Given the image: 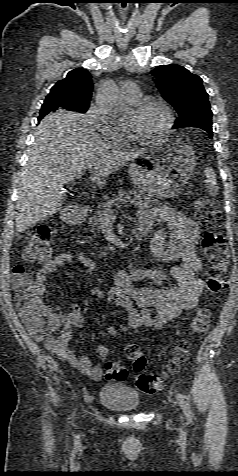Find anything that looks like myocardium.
<instances>
[{"instance_id": "obj_1", "label": "myocardium", "mask_w": 238, "mask_h": 476, "mask_svg": "<svg viewBox=\"0 0 238 476\" xmlns=\"http://www.w3.org/2000/svg\"><path fill=\"white\" fill-rule=\"evenodd\" d=\"M152 105H157V106L161 107L164 110L165 115H166V122L160 130H158V131H156L152 134H149V135H140L134 129H132L129 125L126 124V128L128 129V131L131 134V136L133 137V139H135L136 141L146 142V141H152V140L158 139L160 137H163V136H165L166 134H168L170 132V130L172 129V127L174 125L175 117H174L173 110H172L171 106L166 101H164L162 99H158V98L144 99V100L136 103L133 106V110L135 112H141L145 108H147L149 106H152Z\"/></svg>"}]
</instances>
